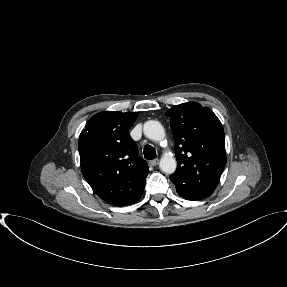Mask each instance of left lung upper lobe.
Wrapping results in <instances>:
<instances>
[{"instance_id": "1", "label": "left lung upper lobe", "mask_w": 287, "mask_h": 287, "mask_svg": "<svg viewBox=\"0 0 287 287\" xmlns=\"http://www.w3.org/2000/svg\"><path fill=\"white\" fill-rule=\"evenodd\" d=\"M175 140L177 169L170 175L176 185L192 192L212 193L226 164L222 125L212 110L196 102L169 109Z\"/></svg>"}]
</instances>
